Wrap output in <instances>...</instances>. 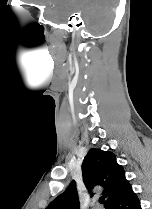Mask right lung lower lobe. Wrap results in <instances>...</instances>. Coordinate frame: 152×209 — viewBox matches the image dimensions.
Wrapping results in <instances>:
<instances>
[{
	"label": "right lung lower lobe",
	"instance_id": "1",
	"mask_svg": "<svg viewBox=\"0 0 152 209\" xmlns=\"http://www.w3.org/2000/svg\"><path fill=\"white\" fill-rule=\"evenodd\" d=\"M107 209H141L137 195L129 186Z\"/></svg>",
	"mask_w": 152,
	"mask_h": 209
}]
</instances>
